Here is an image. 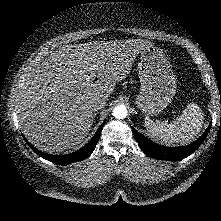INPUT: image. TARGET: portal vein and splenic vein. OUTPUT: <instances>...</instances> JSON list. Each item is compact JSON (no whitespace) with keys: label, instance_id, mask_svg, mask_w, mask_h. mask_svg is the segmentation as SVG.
Wrapping results in <instances>:
<instances>
[{"label":"portal vein and splenic vein","instance_id":"obj_1","mask_svg":"<svg viewBox=\"0 0 221 221\" xmlns=\"http://www.w3.org/2000/svg\"><path fill=\"white\" fill-rule=\"evenodd\" d=\"M89 78H90L91 80H94V78H95V74H94V72H91Z\"/></svg>","mask_w":221,"mask_h":221}]
</instances>
